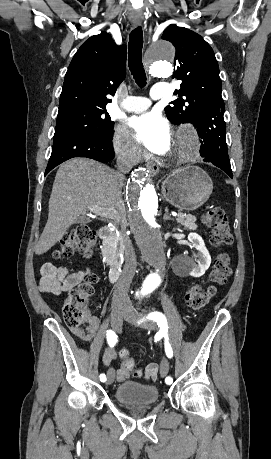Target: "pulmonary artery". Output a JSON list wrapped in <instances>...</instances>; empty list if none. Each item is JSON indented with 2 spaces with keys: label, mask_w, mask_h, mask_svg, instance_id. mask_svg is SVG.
<instances>
[{
  "label": "pulmonary artery",
  "mask_w": 271,
  "mask_h": 459,
  "mask_svg": "<svg viewBox=\"0 0 271 459\" xmlns=\"http://www.w3.org/2000/svg\"><path fill=\"white\" fill-rule=\"evenodd\" d=\"M166 83L164 81H156L154 89L150 91L152 98L130 96L126 101L120 105V109L130 113H139L147 110L149 107L154 106L153 98H164L166 95Z\"/></svg>",
  "instance_id": "e3ab8cb5"
}]
</instances>
